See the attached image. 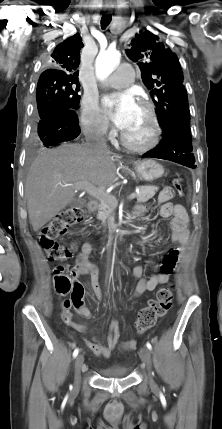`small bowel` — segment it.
Returning a JSON list of instances; mask_svg holds the SVG:
<instances>
[{
	"mask_svg": "<svg viewBox=\"0 0 222 429\" xmlns=\"http://www.w3.org/2000/svg\"><path fill=\"white\" fill-rule=\"evenodd\" d=\"M159 202L161 203L160 215L166 218L171 217L170 239L172 243L178 245V247L170 250L165 255L161 264L158 266V271L149 278H145L143 276L142 266L137 265L131 269L130 276L137 280L132 298H136L146 291H152L156 289L157 286L166 283L169 279V276L174 271L178 260L183 256L185 251L184 247L188 242L189 217L186 209L182 205L167 202V200L162 198L161 195L159 196ZM146 209V206L138 205L135 209V213H142L146 211ZM92 251L93 247L89 242L82 244L79 252L76 255L75 264L72 267L71 275L75 281L80 276L89 275L93 293L97 299L102 300L103 292L99 282V272L97 267L90 261ZM76 282L80 284L78 281ZM72 308H74L79 315L85 318L91 317V312L83 299V288L79 293H72L71 299L63 303L61 308V317L68 326L72 327L78 332L85 333L87 331L86 326L74 324L72 320ZM118 338L119 325L116 320H112L108 325V334L105 341H98L95 339L92 341L85 340V345L96 356L109 358L111 357L112 352L117 345ZM136 345L137 342L135 340L127 341L120 345V350L123 352L131 351L136 347Z\"/></svg>",
	"mask_w": 222,
	"mask_h": 429,
	"instance_id": "obj_1",
	"label": "small bowel"
}]
</instances>
